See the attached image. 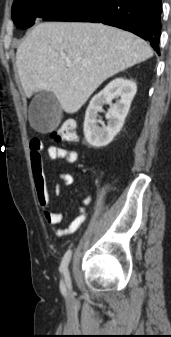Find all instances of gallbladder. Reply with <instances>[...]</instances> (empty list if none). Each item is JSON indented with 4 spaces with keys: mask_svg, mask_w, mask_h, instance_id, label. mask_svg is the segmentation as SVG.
I'll use <instances>...</instances> for the list:
<instances>
[{
    "mask_svg": "<svg viewBox=\"0 0 171 337\" xmlns=\"http://www.w3.org/2000/svg\"><path fill=\"white\" fill-rule=\"evenodd\" d=\"M61 117V106L52 92L42 91L32 100L29 107V121L37 131L53 130L58 126Z\"/></svg>",
    "mask_w": 171,
    "mask_h": 337,
    "instance_id": "obj_1",
    "label": "gallbladder"
}]
</instances>
